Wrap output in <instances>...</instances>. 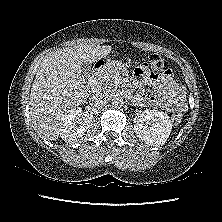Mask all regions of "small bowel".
<instances>
[{
  "label": "small bowel",
  "mask_w": 222,
  "mask_h": 222,
  "mask_svg": "<svg viewBox=\"0 0 222 222\" xmlns=\"http://www.w3.org/2000/svg\"><path fill=\"white\" fill-rule=\"evenodd\" d=\"M135 75L141 79V82L152 85L159 90V93L148 98L150 105L170 112L183 110L185 107L183 88L172 79L171 70L167 69L161 74L150 72L138 74L135 72ZM143 98L144 95L142 94L138 96L139 100Z\"/></svg>",
  "instance_id": "c3829d8e"
}]
</instances>
